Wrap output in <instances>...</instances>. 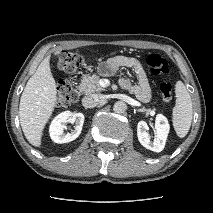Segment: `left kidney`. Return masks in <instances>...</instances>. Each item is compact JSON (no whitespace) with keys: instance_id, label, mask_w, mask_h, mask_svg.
<instances>
[{"instance_id":"left-kidney-1","label":"left kidney","mask_w":213,"mask_h":213,"mask_svg":"<svg viewBox=\"0 0 213 213\" xmlns=\"http://www.w3.org/2000/svg\"><path fill=\"white\" fill-rule=\"evenodd\" d=\"M148 125L145 121H139L137 125L138 140L143 147L154 152H161L164 149L165 142L169 133V123L165 116L158 114L155 119L156 137L153 141L147 132Z\"/></svg>"}]
</instances>
